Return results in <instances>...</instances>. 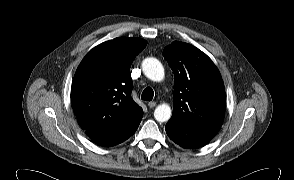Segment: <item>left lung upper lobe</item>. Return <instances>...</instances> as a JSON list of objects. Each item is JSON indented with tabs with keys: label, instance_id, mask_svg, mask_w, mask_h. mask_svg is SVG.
<instances>
[{
	"label": "left lung upper lobe",
	"instance_id": "1",
	"mask_svg": "<svg viewBox=\"0 0 294 180\" xmlns=\"http://www.w3.org/2000/svg\"><path fill=\"white\" fill-rule=\"evenodd\" d=\"M174 72L170 120L191 129L220 128L225 115V88L219 70L198 48L183 42L165 47Z\"/></svg>",
	"mask_w": 294,
	"mask_h": 180
}]
</instances>
